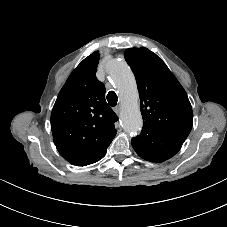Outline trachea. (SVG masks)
Segmentation results:
<instances>
[{"label": "trachea", "instance_id": "1", "mask_svg": "<svg viewBox=\"0 0 227 227\" xmlns=\"http://www.w3.org/2000/svg\"><path fill=\"white\" fill-rule=\"evenodd\" d=\"M107 101L110 106L114 107L117 105L118 97L114 91H109L107 94Z\"/></svg>", "mask_w": 227, "mask_h": 227}]
</instances>
